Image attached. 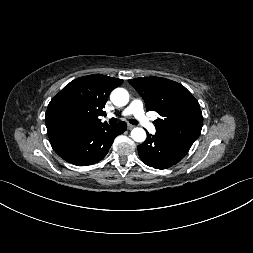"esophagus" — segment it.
I'll return each instance as SVG.
<instances>
[{"instance_id":"1","label":"esophagus","mask_w":253,"mask_h":253,"mask_svg":"<svg viewBox=\"0 0 253 253\" xmlns=\"http://www.w3.org/2000/svg\"><path fill=\"white\" fill-rule=\"evenodd\" d=\"M127 127H128V130H132L135 126L131 125V124H128Z\"/></svg>"}]
</instances>
